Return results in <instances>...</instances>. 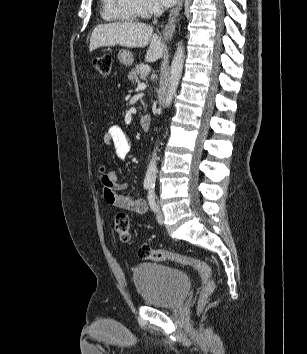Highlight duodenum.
I'll list each match as a JSON object with an SVG mask.
<instances>
[{"label":"duodenum","instance_id":"obj_1","mask_svg":"<svg viewBox=\"0 0 307 354\" xmlns=\"http://www.w3.org/2000/svg\"><path fill=\"white\" fill-rule=\"evenodd\" d=\"M151 116L148 114L142 115L140 117V126L143 130L148 131L151 126Z\"/></svg>","mask_w":307,"mask_h":354}]
</instances>
